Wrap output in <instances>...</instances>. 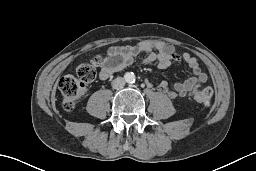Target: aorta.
Wrapping results in <instances>:
<instances>
[{
	"mask_svg": "<svg viewBox=\"0 0 256 171\" xmlns=\"http://www.w3.org/2000/svg\"><path fill=\"white\" fill-rule=\"evenodd\" d=\"M125 81L127 83H134L135 82V75H134V73H126Z\"/></svg>",
	"mask_w": 256,
	"mask_h": 171,
	"instance_id": "762f6f07",
	"label": "aorta"
}]
</instances>
